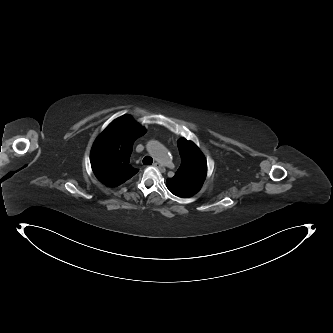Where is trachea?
Here are the masks:
<instances>
[{"label": "trachea", "mask_w": 333, "mask_h": 333, "mask_svg": "<svg viewBox=\"0 0 333 333\" xmlns=\"http://www.w3.org/2000/svg\"><path fill=\"white\" fill-rule=\"evenodd\" d=\"M142 162L144 165H151L153 163V159L150 156H145Z\"/></svg>", "instance_id": "obj_1"}]
</instances>
